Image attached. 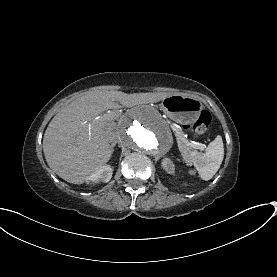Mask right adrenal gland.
I'll return each mask as SVG.
<instances>
[{
	"label": "right adrenal gland",
	"instance_id": "obj_1",
	"mask_svg": "<svg viewBox=\"0 0 277 277\" xmlns=\"http://www.w3.org/2000/svg\"><path fill=\"white\" fill-rule=\"evenodd\" d=\"M115 145H116V142L112 143V144H111L112 148H113Z\"/></svg>",
	"mask_w": 277,
	"mask_h": 277
}]
</instances>
